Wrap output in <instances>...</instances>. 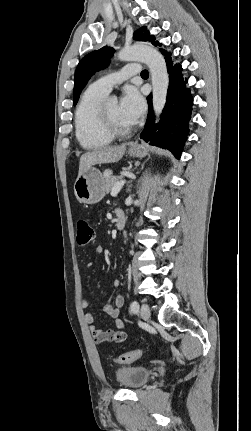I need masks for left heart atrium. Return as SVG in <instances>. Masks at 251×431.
<instances>
[{"instance_id": "left-heart-atrium-1", "label": "left heart atrium", "mask_w": 251, "mask_h": 431, "mask_svg": "<svg viewBox=\"0 0 251 431\" xmlns=\"http://www.w3.org/2000/svg\"><path fill=\"white\" fill-rule=\"evenodd\" d=\"M119 108L124 118L132 125L138 122L145 110V101L139 90L133 86L124 89Z\"/></svg>"}]
</instances>
